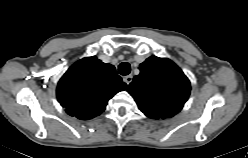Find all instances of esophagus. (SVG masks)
Instances as JSON below:
<instances>
[{
  "mask_svg": "<svg viewBox=\"0 0 248 158\" xmlns=\"http://www.w3.org/2000/svg\"><path fill=\"white\" fill-rule=\"evenodd\" d=\"M123 80H124V82H125L127 85H129V84L132 82L133 77H132V75H127V76H125V77L123 78Z\"/></svg>",
  "mask_w": 248,
  "mask_h": 158,
  "instance_id": "esophagus-1",
  "label": "esophagus"
}]
</instances>
